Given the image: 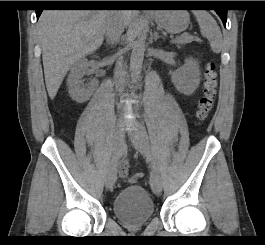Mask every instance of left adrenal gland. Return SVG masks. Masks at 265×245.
Segmentation results:
<instances>
[{"label": "left adrenal gland", "mask_w": 265, "mask_h": 245, "mask_svg": "<svg viewBox=\"0 0 265 245\" xmlns=\"http://www.w3.org/2000/svg\"><path fill=\"white\" fill-rule=\"evenodd\" d=\"M159 38L158 32H154V40L157 41Z\"/></svg>", "instance_id": "left-adrenal-gland-1"}]
</instances>
